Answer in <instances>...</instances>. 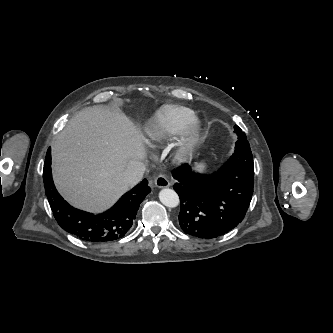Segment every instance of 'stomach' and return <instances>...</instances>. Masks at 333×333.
I'll use <instances>...</instances> for the list:
<instances>
[{
  "label": "stomach",
  "mask_w": 333,
  "mask_h": 333,
  "mask_svg": "<svg viewBox=\"0 0 333 333\" xmlns=\"http://www.w3.org/2000/svg\"><path fill=\"white\" fill-rule=\"evenodd\" d=\"M196 169L198 171H203L205 169V165L203 163L197 164Z\"/></svg>",
  "instance_id": "0dacf381"
}]
</instances>
